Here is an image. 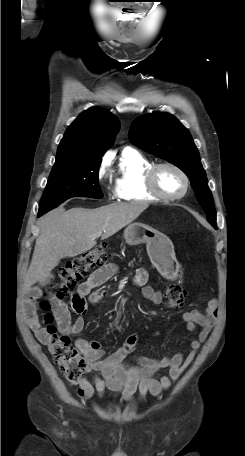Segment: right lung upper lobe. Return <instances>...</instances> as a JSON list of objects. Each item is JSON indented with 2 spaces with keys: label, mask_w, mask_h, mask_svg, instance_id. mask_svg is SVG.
Segmentation results:
<instances>
[{
  "label": "right lung upper lobe",
  "mask_w": 245,
  "mask_h": 456,
  "mask_svg": "<svg viewBox=\"0 0 245 456\" xmlns=\"http://www.w3.org/2000/svg\"><path fill=\"white\" fill-rule=\"evenodd\" d=\"M119 119L112 113L93 107L79 115L61 140L56 162L73 159H101L119 130Z\"/></svg>",
  "instance_id": "1"
}]
</instances>
